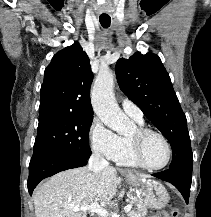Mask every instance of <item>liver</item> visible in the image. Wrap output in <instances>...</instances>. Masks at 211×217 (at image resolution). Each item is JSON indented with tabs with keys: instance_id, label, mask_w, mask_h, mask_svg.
<instances>
[{
	"instance_id": "obj_1",
	"label": "liver",
	"mask_w": 211,
	"mask_h": 217,
	"mask_svg": "<svg viewBox=\"0 0 211 217\" xmlns=\"http://www.w3.org/2000/svg\"><path fill=\"white\" fill-rule=\"evenodd\" d=\"M140 179L149 175L137 173ZM122 182L117 169L108 166L100 175L89 167L75 168L52 176L34 192L36 217H87L86 212L74 211L70 206L100 203L106 207Z\"/></svg>"
}]
</instances>
